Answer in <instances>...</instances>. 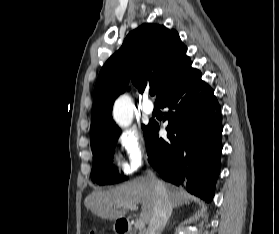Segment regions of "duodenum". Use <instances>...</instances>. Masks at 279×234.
<instances>
[{"mask_svg":"<svg viewBox=\"0 0 279 234\" xmlns=\"http://www.w3.org/2000/svg\"><path fill=\"white\" fill-rule=\"evenodd\" d=\"M116 230L119 234H129L131 227L125 220H120L116 226Z\"/></svg>","mask_w":279,"mask_h":234,"instance_id":"obj_1","label":"duodenum"}]
</instances>
